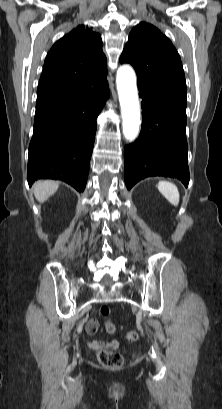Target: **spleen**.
I'll return each mask as SVG.
<instances>
[{
    "label": "spleen",
    "mask_w": 222,
    "mask_h": 409,
    "mask_svg": "<svg viewBox=\"0 0 222 409\" xmlns=\"http://www.w3.org/2000/svg\"><path fill=\"white\" fill-rule=\"evenodd\" d=\"M157 188L173 206H178L180 195L176 185L168 181H161L157 184Z\"/></svg>",
    "instance_id": "spleen-1"
}]
</instances>
